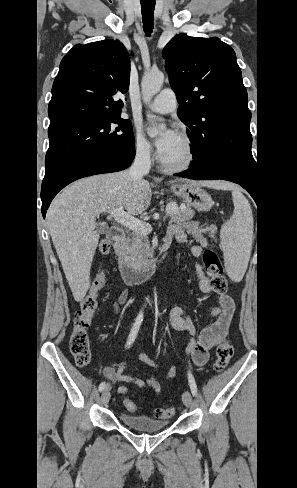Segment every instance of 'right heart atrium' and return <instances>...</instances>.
Wrapping results in <instances>:
<instances>
[{
	"instance_id": "1",
	"label": "right heart atrium",
	"mask_w": 297,
	"mask_h": 488,
	"mask_svg": "<svg viewBox=\"0 0 297 488\" xmlns=\"http://www.w3.org/2000/svg\"><path fill=\"white\" fill-rule=\"evenodd\" d=\"M134 151L137 156L148 159L153 153V148L149 140L140 129H136L133 136Z\"/></svg>"
}]
</instances>
